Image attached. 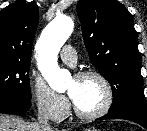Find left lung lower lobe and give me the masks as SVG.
Segmentation results:
<instances>
[{"instance_id":"left-lung-lower-lobe-1","label":"left lung lower lobe","mask_w":147,"mask_h":131,"mask_svg":"<svg viewBox=\"0 0 147 131\" xmlns=\"http://www.w3.org/2000/svg\"><path fill=\"white\" fill-rule=\"evenodd\" d=\"M100 119H124L140 124L147 130V111L141 110H120L108 112V114L98 118Z\"/></svg>"}]
</instances>
